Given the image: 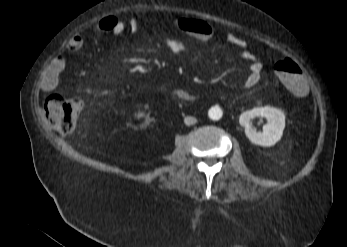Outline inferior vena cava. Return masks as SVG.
Here are the masks:
<instances>
[{
    "label": "inferior vena cava",
    "mask_w": 347,
    "mask_h": 247,
    "mask_svg": "<svg viewBox=\"0 0 347 247\" xmlns=\"http://www.w3.org/2000/svg\"><path fill=\"white\" fill-rule=\"evenodd\" d=\"M197 122V119L195 117H192V116H187L184 118V123L186 125H193Z\"/></svg>",
    "instance_id": "inferior-vena-cava-1"
}]
</instances>
